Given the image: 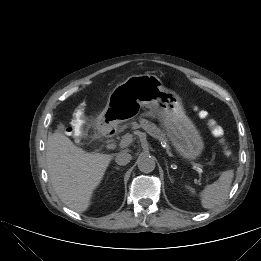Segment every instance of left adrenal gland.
<instances>
[{"instance_id":"1","label":"left adrenal gland","mask_w":261,"mask_h":261,"mask_svg":"<svg viewBox=\"0 0 261 261\" xmlns=\"http://www.w3.org/2000/svg\"><path fill=\"white\" fill-rule=\"evenodd\" d=\"M166 170H167V174H168V178H169V180L172 181L171 176H170V174H169V170H168L167 163H166Z\"/></svg>"}]
</instances>
